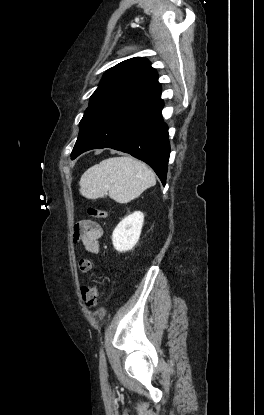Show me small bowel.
I'll return each mask as SVG.
<instances>
[{
	"label": "small bowel",
	"instance_id": "1",
	"mask_svg": "<svg viewBox=\"0 0 264 415\" xmlns=\"http://www.w3.org/2000/svg\"><path fill=\"white\" fill-rule=\"evenodd\" d=\"M85 250L90 253H98L100 250L99 240L102 237V227L94 221H81L74 230Z\"/></svg>",
	"mask_w": 264,
	"mask_h": 415
}]
</instances>
